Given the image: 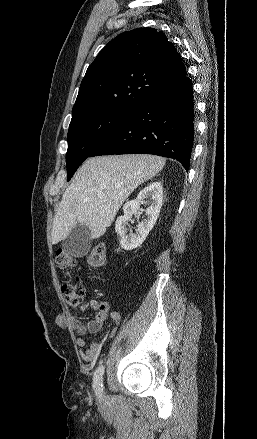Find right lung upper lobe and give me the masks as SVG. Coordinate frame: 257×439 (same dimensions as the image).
Wrapping results in <instances>:
<instances>
[{"instance_id":"cb5924a9","label":"right lung upper lobe","mask_w":257,"mask_h":439,"mask_svg":"<svg viewBox=\"0 0 257 439\" xmlns=\"http://www.w3.org/2000/svg\"><path fill=\"white\" fill-rule=\"evenodd\" d=\"M186 76L180 54L153 28L124 32L88 67L72 117L96 110L134 112L148 98Z\"/></svg>"}]
</instances>
